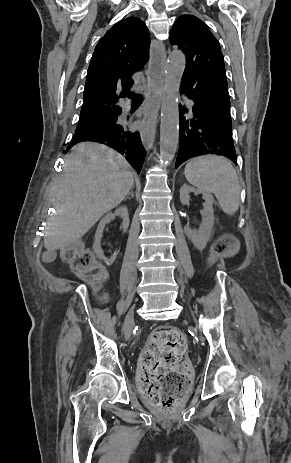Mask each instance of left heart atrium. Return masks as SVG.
Returning a JSON list of instances; mask_svg holds the SVG:
<instances>
[{
  "label": "left heart atrium",
  "instance_id": "obj_1",
  "mask_svg": "<svg viewBox=\"0 0 291 463\" xmlns=\"http://www.w3.org/2000/svg\"><path fill=\"white\" fill-rule=\"evenodd\" d=\"M141 127H142V128H146V127H147V124L144 122V123L141 124Z\"/></svg>",
  "mask_w": 291,
  "mask_h": 463
}]
</instances>
